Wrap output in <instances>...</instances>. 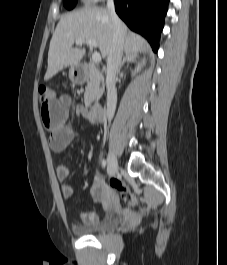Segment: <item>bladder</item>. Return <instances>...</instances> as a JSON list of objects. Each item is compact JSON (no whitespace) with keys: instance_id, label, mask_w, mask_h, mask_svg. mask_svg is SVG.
<instances>
[{"instance_id":"obj_1","label":"bladder","mask_w":227,"mask_h":265,"mask_svg":"<svg viewBox=\"0 0 227 265\" xmlns=\"http://www.w3.org/2000/svg\"><path fill=\"white\" fill-rule=\"evenodd\" d=\"M119 224V218L114 212H108L106 216L95 225L74 224L72 230L79 236H96L114 229Z\"/></svg>"}]
</instances>
